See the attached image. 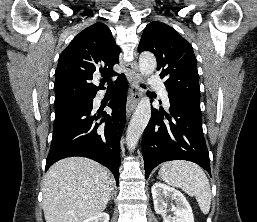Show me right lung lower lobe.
<instances>
[{
	"label": "right lung lower lobe",
	"mask_w": 257,
	"mask_h": 222,
	"mask_svg": "<svg viewBox=\"0 0 257 222\" xmlns=\"http://www.w3.org/2000/svg\"><path fill=\"white\" fill-rule=\"evenodd\" d=\"M127 80L124 74L117 79L116 92L108 104L112 116L94 114L93 97L87 109H73L55 116L51 147L46 171L58 160L71 156L93 159L107 167L119 181L120 138L125 125ZM100 123L96 121L100 116ZM105 122L104 125H101Z\"/></svg>",
	"instance_id": "right-lung-lower-lobe-1"
}]
</instances>
